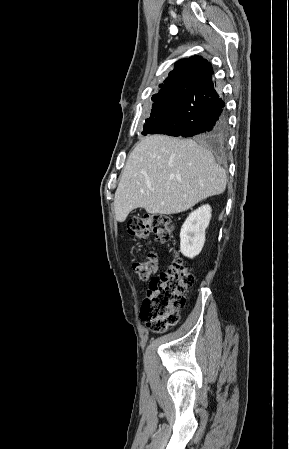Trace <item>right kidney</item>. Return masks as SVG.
<instances>
[{"instance_id":"right-kidney-1","label":"right kidney","mask_w":289,"mask_h":449,"mask_svg":"<svg viewBox=\"0 0 289 449\" xmlns=\"http://www.w3.org/2000/svg\"><path fill=\"white\" fill-rule=\"evenodd\" d=\"M211 207L206 204L189 214L180 231V251L188 257L197 256L205 243V230L211 219Z\"/></svg>"}]
</instances>
